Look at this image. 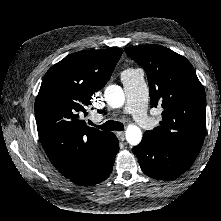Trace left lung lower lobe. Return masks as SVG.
I'll use <instances>...</instances> for the list:
<instances>
[{
    "mask_svg": "<svg viewBox=\"0 0 221 221\" xmlns=\"http://www.w3.org/2000/svg\"><path fill=\"white\" fill-rule=\"evenodd\" d=\"M142 171L149 177L159 180H171L183 174L197 156L186 153L165 142H151L142 139L133 147Z\"/></svg>",
    "mask_w": 221,
    "mask_h": 221,
    "instance_id": "1",
    "label": "left lung lower lobe"
}]
</instances>
